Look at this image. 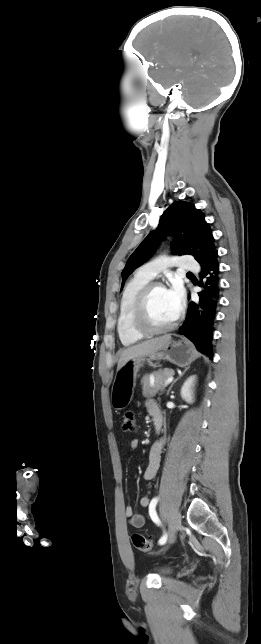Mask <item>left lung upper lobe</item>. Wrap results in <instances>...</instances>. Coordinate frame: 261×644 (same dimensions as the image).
<instances>
[{
    "label": "left lung upper lobe",
    "instance_id": "obj_1",
    "mask_svg": "<svg viewBox=\"0 0 261 644\" xmlns=\"http://www.w3.org/2000/svg\"><path fill=\"white\" fill-rule=\"evenodd\" d=\"M167 234L173 236L172 251L175 254L193 255L200 265L217 251L203 213L190 202H175L162 214L157 231L150 232L129 257L122 271L121 289L129 274L145 262Z\"/></svg>",
    "mask_w": 261,
    "mask_h": 644
}]
</instances>
